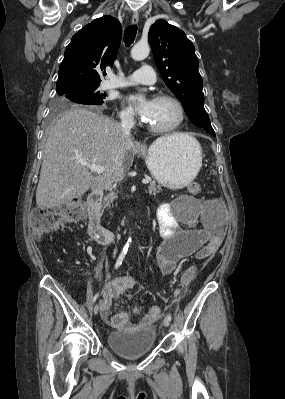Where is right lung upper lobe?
Returning a JSON list of instances; mask_svg holds the SVG:
<instances>
[{
	"instance_id": "cb5924a9",
	"label": "right lung upper lobe",
	"mask_w": 285,
	"mask_h": 399,
	"mask_svg": "<svg viewBox=\"0 0 285 399\" xmlns=\"http://www.w3.org/2000/svg\"><path fill=\"white\" fill-rule=\"evenodd\" d=\"M121 36L120 22L109 15L84 26L65 50L59 67L57 91L99 87V73L113 65Z\"/></svg>"
}]
</instances>
